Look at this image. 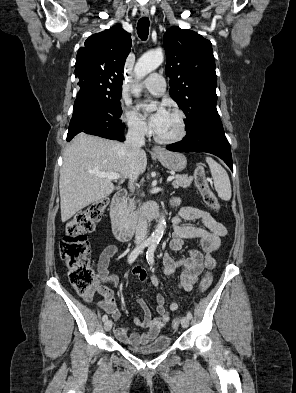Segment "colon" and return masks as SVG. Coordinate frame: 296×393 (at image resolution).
Here are the masks:
<instances>
[{
	"mask_svg": "<svg viewBox=\"0 0 296 393\" xmlns=\"http://www.w3.org/2000/svg\"><path fill=\"white\" fill-rule=\"evenodd\" d=\"M196 186L205 204L217 211L220 204L209 187L202 166L196 168ZM107 206L106 199H100L84 209L78 211L67 223L65 235L60 242V255L68 269V278L72 287L81 296L89 295L98 285L96 272L90 259V246L87 233L94 230L96 222L100 219ZM212 277L206 274L199 286V292L204 293L211 285ZM180 317L172 322L173 328H177Z\"/></svg>",
	"mask_w": 296,
	"mask_h": 393,
	"instance_id": "5ec220e1",
	"label": "colon"
}]
</instances>
